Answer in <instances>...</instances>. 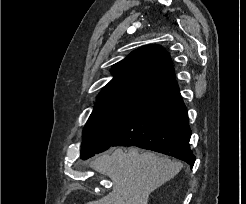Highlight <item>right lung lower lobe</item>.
Returning a JSON list of instances; mask_svg holds the SVG:
<instances>
[{
    "label": "right lung lower lobe",
    "instance_id": "obj_1",
    "mask_svg": "<svg viewBox=\"0 0 246 204\" xmlns=\"http://www.w3.org/2000/svg\"><path fill=\"white\" fill-rule=\"evenodd\" d=\"M190 136L187 110L173 79L132 103L111 146L153 150L193 167L195 156L189 147Z\"/></svg>",
    "mask_w": 246,
    "mask_h": 204
}]
</instances>
